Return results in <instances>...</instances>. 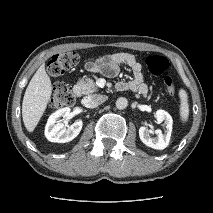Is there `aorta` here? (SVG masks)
Here are the masks:
<instances>
[{
	"label": "aorta",
	"mask_w": 213,
	"mask_h": 213,
	"mask_svg": "<svg viewBox=\"0 0 213 213\" xmlns=\"http://www.w3.org/2000/svg\"><path fill=\"white\" fill-rule=\"evenodd\" d=\"M128 100L124 97H120L116 100V107L120 110H123L127 107Z\"/></svg>",
	"instance_id": "1"
}]
</instances>
